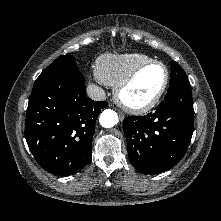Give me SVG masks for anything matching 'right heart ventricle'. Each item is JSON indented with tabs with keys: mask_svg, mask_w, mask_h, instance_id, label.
I'll list each match as a JSON object with an SVG mask.
<instances>
[{
	"mask_svg": "<svg viewBox=\"0 0 221 221\" xmlns=\"http://www.w3.org/2000/svg\"><path fill=\"white\" fill-rule=\"evenodd\" d=\"M153 60L141 53L105 54L96 62L97 77L109 86H117L136 67Z\"/></svg>",
	"mask_w": 221,
	"mask_h": 221,
	"instance_id": "right-heart-ventricle-1",
	"label": "right heart ventricle"
}]
</instances>
